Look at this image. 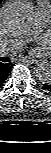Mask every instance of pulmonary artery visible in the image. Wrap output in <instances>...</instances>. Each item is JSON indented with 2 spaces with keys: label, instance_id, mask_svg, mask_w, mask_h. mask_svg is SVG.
Listing matches in <instances>:
<instances>
[{
  "label": "pulmonary artery",
  "instance_id": "1",
  "mask_svg": "<svg viewBox=\"0 0 51 153\" xmlns=\"http://www.w3.org/2000/svg\"><path fill=\"white\" fill-rule=\"evenodd\" d=\"M51 7L48 3H41L38 5L35 11L34 28L36 30L44 27L50 20ZM23 45V41L9 40L0 45L1 53H9L20 49Z\"/></svg>",
  "mask_w": 51,
  "mask_h": 153
}]
</instances>
